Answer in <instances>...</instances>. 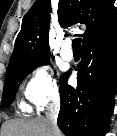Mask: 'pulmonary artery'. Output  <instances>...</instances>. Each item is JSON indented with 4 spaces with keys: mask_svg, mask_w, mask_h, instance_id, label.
Returning <instances> with one entry per match:
<instances>
[{
    "mask_svg": "<svg viewBox=\"0 0 117 136\" xmlns=\"http://www.w3.org/2000/svg\"><path fill=\"white\" fill-rule=\"evenodd\" d=\"M61 56L66 61H71L73 59V51L71 49V43L69 41H65L61 50Z\"/></svg>",
    "mask_w": 117,
    "mask_h": 136,
    "instance_id": "obj_1",
    "label": "pulmonary artery"
}]
</instances>
